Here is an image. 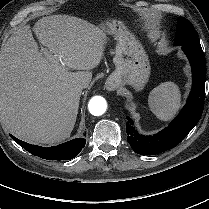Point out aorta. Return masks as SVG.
<instances>
[{
	"instance_id": "1",
	"label": "aorta",
	"mask_w": 209,
	"mask_h": 209,
	"mask_svg": "<svg viewBox=\"0 0 209 209\" xmlns=\"http://www.w3.org/2000/svg\"><path fill=\"white\" fill-rule=\"evenodd\" d=\"M88 110L94 116H101L107 110V102L102 96H94L88 103Z\"/></svg>"
}]
</instances>
